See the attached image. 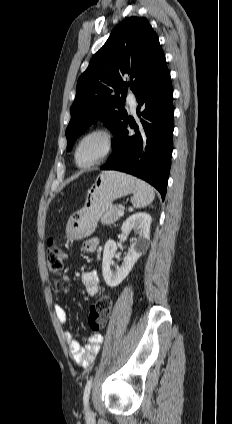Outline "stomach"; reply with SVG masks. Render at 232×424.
I'll return each mask as SVG.
<instances>
[{
  "mask_svg": "<svg viewBox=\"0 0 232 424\" xmlns=\"http://www.w3.org/2000/svg\"><path fill=\"white\" fill-rule=\"evenodd\" d=\"M134 190L135 178L132 176L117 171L102 172L89 189L81 214L68 223L67 240H80L91 235L99 218L112 206L113 201L131 194Z\"/></svg>",
  "mask_w": 232,
  "mask_h": 424,
  "instance_id": "0dacf381",
  "label": "stomach"
}]
</instances>
